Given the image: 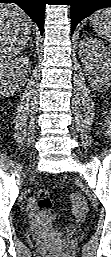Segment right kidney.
<instances>
[{
    "mask_svg": "<svg viewBox=\"0 0 111 257\" xmlns=\"http://www.w3.org/2000/svg\"><path fill=\"white\" fill-rule=\"evenodd\" d=\"M31 69L28 57L20 56L1 68V94L8 96L13 94L25 83V76Z\"/></svg>",
    "mask_w": 111,
    "mask_h": 257,
    "instance_id": "ca27d5eb",
    "label": "right kidney"
}]
</instances>
